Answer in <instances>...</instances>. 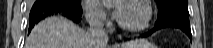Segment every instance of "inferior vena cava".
Returning a JSON list of instances; mask_svg holds the SVG:
<instances>
[{
  "label": "inferior vena cava",
  "mask_w": 213,
  "mask_h": 48,
  "mask_svg": "<svg viewBox=\"0 0 213 48\" xmlns=\"http://www.w3.org/2000/svg\"><path fill=\"white\" fill-rule=\"evenodd\" d=\"M89 35L97 48L105 46L108 42L109 37L103 28V23L99 14H94L90 19Z\"/></svg>",
  "instance_id": "1"
}]
</instances>
